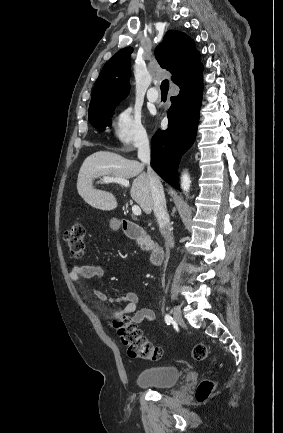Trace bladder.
Segmentation results:
<instances>
[{
	"label": "bladder",
	"mask_w": 283,
	"mask_h": 433,
	"mask_svg": "<svg viewBox=\"0 0 283 433\" xmlns=\"http://www.w3.org/2000/svg\"><path fill=\"white\" fill-rule=\"evenodd\" d=\"M180 376V370L176 366L152 367L140 372L137 385L168 388L175 385Z\"/></svg>",
	"instance_id": "31cf9c89"
}]
</instances>
